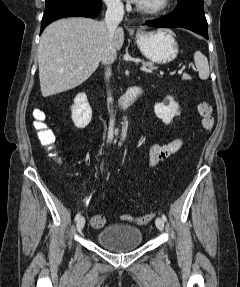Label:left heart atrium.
<instances>
[{
    "mask_svg": "<svg viewBox=\"0 0 240 287\" xmlns=\"http://www.w3.org/2000/svg\"><path fill=\"white\" fill-rule=\"evenodd\" d=\"M132 1H134V2H139V0H132Z\"/></svg>",
    "mask_w": 240,
    "mask_h": 287,
    "instance_id": "obj_1",
    "label": "left heart atrium"
}]
</instances>
